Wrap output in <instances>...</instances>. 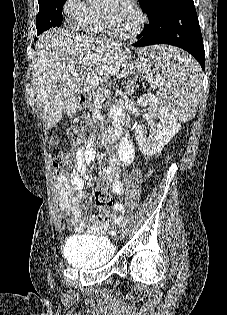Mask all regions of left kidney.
<instances>
[{
    "label": "left kidney",
    "mask_w": 227,
    "mask_h": 315,
    "mask_svg": "<svg viewBox=\"0 0 227 315\" xmlns=\"http://www.w3.org/2000/svg\"><path fill=\"white\" fill-rule=\"evenodd\" d=\"M137 104L141 107L148 106L149 117L159 118L160 122L154 123L155 135L148 136L144 126L135 128V138L140 151L146 156H154L160 153L172 137L180 130V124L171 112L166 109L159 98L154 94L147 93L140 96Z\"/></svg>",
    "instance_id": "left-kidney-1"
}]
</instances>
